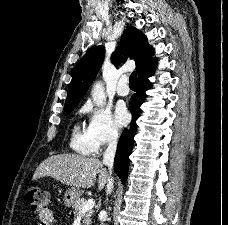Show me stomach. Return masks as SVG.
I'll return each mask as SVG.
<instances>
[{"instance_id":"0dacf381","label":"stomach","mask_w":228,"mask_h":225,"mask_svg":"<svg viewBox=\"0 0 228 225\" xmlns=\"http://www.w3.org/2000/svg\"><path fill=\"white\" fill-rule=\"evenodd\" d=\"M81 197V191L80 189H76V187H70V189H67L65 195H64V203L67 205V207H71L77 199Z\"/></svg>"}]
</instances>
